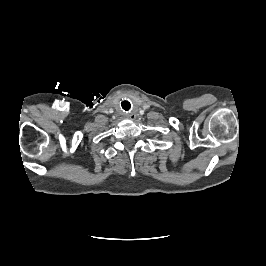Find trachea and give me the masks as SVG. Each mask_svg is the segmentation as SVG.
I'll use <instances>...</instances> for the list:
<instances>
[{
    "label": "trachea",
    "mask_w": 266,
    "mask_h": 266,
    "mask_svg": "<svg viewBox=\"0 0 266 266\" xmlns=\"http://www.w3.org/2000/svg\"><path fill=\"white\" fill-rule=\"evenodd\" d=\"M121 105L126 111L130 109V103L128 101H123Z\"/></svg>",
    "instance_id": "3493384b"
}]
</instances>
